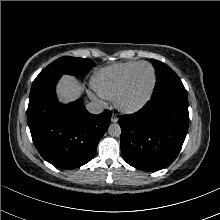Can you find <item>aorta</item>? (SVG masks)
I'll return each mask as SVG.
<instances>
[{"label":"aorta","mask_w":220,"mask_h":220,"mask_svg":"<svg viewBox=\"0 0 220 220\" xmlns=\"http://www.w3.org/2000/svg\"><path fill=\"white\" fill-rule=\"evenodd\" d=\"M108 133L113 137H118L121 134V127L117 123H113L108 128Z\"/></svg>","instance_id":"762f6f07"}]
</instances>
